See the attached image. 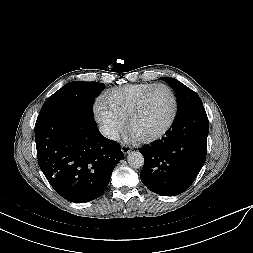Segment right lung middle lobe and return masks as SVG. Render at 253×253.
<instances>
[{
    "instance_id": "obj_1",
    "label": "right lung middle lobe",
    "mask_w": 253,
    "mask_h": 253,
    "mask_svg": "<svg viewBox=\"0 0 253 253\" xmlns=\"http://www.w3.org/2000/svg\"><path fill=\"white\" fill-rule=\"evenodd\" d=\"M103 88L104 84L98 82H70L45 101L40 114L57 112L93 118V102Z\"/></svg>"
}]
</instances>
